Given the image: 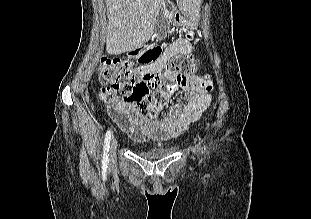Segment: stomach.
<instances>
[{
    "label": "stomach",
    "instance_id": "stomach-1",
    "mask_svg": "<svg viewBox=\"0 0 311 219\" xmlns=\"http://www.w3.org/2000/svg\"><path fill=\"white\" fill-rule=\"evenodd\" d=\"M165 20L169 23L172 22L174 25L182 26L187 24L189 18L181 11H176L171 15L165 16L163 15Z\"/></svg>",
    "mask_w": 311,
    "mask_h": 219
}]
</instances>
